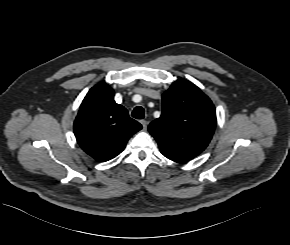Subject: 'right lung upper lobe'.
<instances>
[{
  "label": "right lung upper lobe",
  "mask_w": 290,
  "mask_h": 245,
  "mask_svg": "<svg viewBox=\"0 0 290 245\" xmlns=\"http://www.w3.org/2000/svg\"><path fill=\"white\" fill-rule=\"evenodd\" d=\"M142 128L127 110L114 101V90L106 83L95 85L84 98L74 122L81 148L100 162L120 154L128 139Z\"/></svg>",
  "instance_id": "right-lung-upper-lobe-1"
}]
</instances>
